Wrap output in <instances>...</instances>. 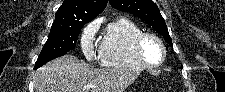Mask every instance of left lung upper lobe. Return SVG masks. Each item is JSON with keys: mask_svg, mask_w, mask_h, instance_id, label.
Here are the masks:
<instances>
[{"mask_svg": "<svg viewBox=\"0 0 225 92\" xmlns=\"http://www.w3.org/2000/svg\"><path fill=\"white\" fill-rule=\"evenodd\" d=\"M109 3L117 10L129 12L144 20L159 34L163 35L171 47L173 46L165 21L152 0H109ZM181 68L183 67L181 66Z\"/></svg>", "mask_w": 225, "mask_h": 92, "instance_id": "left-lung-upper-lobe-1", "label": "left lung upper lobe"}]
</instances>
